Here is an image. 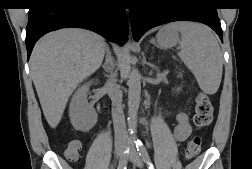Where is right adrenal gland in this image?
Masks as SVG:
<instances>
[{
  "mask_svg": "<svg viewBox=\"0 0 252 169\" xmlns=\"http://www.w3.org/2000/svg\"><path fill=\"white\" fill-rule=\"evenodd\" d=\"M105 50H106V57L105 62L102 65V68L105 70V72H109L111 67L113 66L114 58L108 45H106Z\"/></svg>",
  "mask_w": 252,
  "mask_h": 169,
  "instance_id": "2a0ac1e0",
  "label": "right adrenal gland"
}]
</instances>
